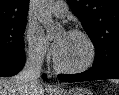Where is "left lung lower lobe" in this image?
<instances>
[{
    "label": "left lung lower lobe",
    "instance_id": "1",
    "mask_svg": "<svg viewBox=\"0 0 119 95\" xmlns=\"http://www.w3.org/2000/svg\"><path fill=\"white\" fill-rule=\"evenodd\" d=\"M58 78L66 82H81L101 79H119V60H116L111 66L104 70H98L91 67L89 70L79 74H59Z\"/></svg>",
    "mask_w": 119,
    "mask_h": 95
}]
</instances>
